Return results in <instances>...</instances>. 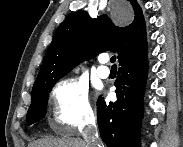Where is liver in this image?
Here are the masks:
<instances>
[{
  "mask_svg": "<svg viewBox=\"0 0 183 147\" xmlns=\"http://www.w3.org/2000/svg\"><path fill=\"white\" fill-rule=\"evenodd\" d=\"M29 147H87V144L79 138H44L29 144Z\"/></svg>",
  "mask_w": 183,
  "mask_h": 147,
  "instance_id": "obj_1",
  "label": "liver"
}]
</instances>
